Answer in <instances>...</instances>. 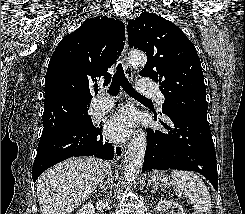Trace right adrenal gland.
I'll return each instance as SVG.
<instances>
[{
	"label": "right adrenal gland",
	"instance_id": "obj_1",
	"mask_svg": "<svg viewBox=\"0 0 245 214\" xmlns=\"http://www.w3.org/2000/svg\"><path fill=\"white\" fill-rule=\"evenodd\" d=\"M101 185H102L103 191H106L107 189H112V187H113V179H112V171H111V169H109V171H108V178L104 182V186H103V181L101 182Z\"/></svg>",
	"mask_w": 245,
	"mask_h": 214
}]
</instances>
